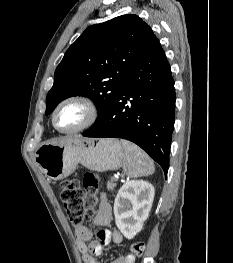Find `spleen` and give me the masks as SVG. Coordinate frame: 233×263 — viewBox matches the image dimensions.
Masks as SVG:
<instances>
[{"mask_svg":"<svg viewBox=\"0 0 233 263\" xmlns=\"http://www.w3.org/2000/svg\"><path fill=\"white\" fill-rule=\"evenodd\" d=\"M121 144L125 150L123 169L129 177L148 176L154 173V163L143 150L127 140H121Z\"/></svg>","mask_w":233,"mask_h":263,"instance_id":"spleen-1","label":"spleen"}]
</instances>
